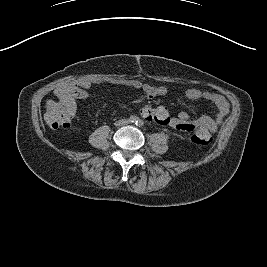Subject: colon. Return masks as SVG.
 <instances>
[{"instance_id": "colon-1", "label": "colon", "mask_w": 267, "mask_h": 267, "mask_svg": "<svg viewBox=\"0 0 267 267\" xmlns=\"http://www.w3.org/2000/svg\"><path fill=\"white\" fill-rule=\"evenodd\" d=\"M45 119L50 128L54 130L65 129L71 125L70 111L66 110L65 112L57 102L53 101L48 102L46 105ZM191 140L196 145L207 146L211 137L208 133L197 131Z\"/></svg>"}]
</instances>
